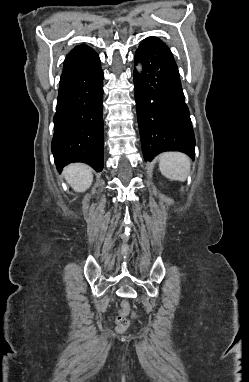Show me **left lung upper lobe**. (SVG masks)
<instances>
[{"mask_svg":"<svg viewBox=\"0 0 249 382\" xmlns=\"http://www.w3.org/2000/svg\"><path fill=\"white\" fill-rule=\"evenodd\" d=\"M153 38H155V39H157L158 41H160V42H162L160 39H158L157 37H153ZM163 43V42H162ZM163 44H165V43H163ZM166 45V44H165Z\"/></svg>","mask_w":249,"mask_h":382,"instance_id":"obj_1","label":"left lung upper lobe"}]
</instances>
